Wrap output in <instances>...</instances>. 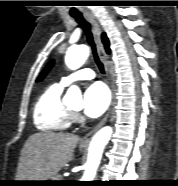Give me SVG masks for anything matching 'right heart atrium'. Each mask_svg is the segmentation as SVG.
I'll use <instances>...</instances> for the list:
<instances>
[{
  "label": "right heart atrium",
  "instance_id": "d8ad5b80",
  "mask_svg": "<svg viewBox=\"0 0 178 186\" xmlns=\"http://www.w3.org/2000/svg\"><path fill=\"white\" fill-rule=\"evenodd\" d=\"M73 119L77 120L79 119V116L77 114H73Z\"/></svg>",
  "mask_w": 178,
  "mask_h": 186
}]
</instances>
